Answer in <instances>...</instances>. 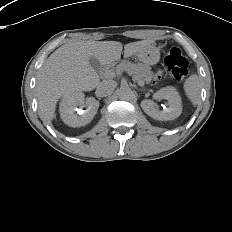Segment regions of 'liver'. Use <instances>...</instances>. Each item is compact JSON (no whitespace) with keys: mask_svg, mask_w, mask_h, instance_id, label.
Returning a JSON list of instances; mask_svg holds the SVG:
<instances>
[{"mask_svg":"<svg viewBox=\"0 0 232 232\" xmlns=\"http://www.w3.org/2000/svg\"><path fill=\"white\" fill-rule=\"evenodd\" d=\"M152 40L128 43L124 46V57H130L145 49ZM123 45L117 41L69 42L55 50L46 60L37 78L38 110L42 120L51 122L55 118L58 100L65 94L76 91H91L99 82V76L90 65L94 56L101 65L121 58Z\"/></svg>","mask_w":232,"mask_h":232,"instance_id":"6515ba94","label":"liver"}]
</instances>
